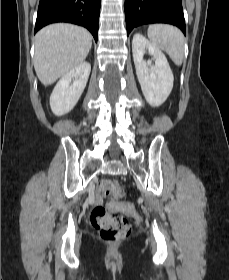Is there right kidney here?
Masks as SVG:
<instances>
[{
	"label": "right kidney",
	"mask_w": 229,
	"mask_h": 280,
	"mask_svg": "<svg viewBox=\"0 0 229 280\" xmlns=\"http://www.w3.org/2000/svg\"><path fill=\"white\" fill-rule=\"evenodd\" d=\"M90 71V63L84 61L58 81L50 96V107L56 116H62L74 108L85 89Z\"/></svg>",
	"instance_id": "1"
}]
</instances>
